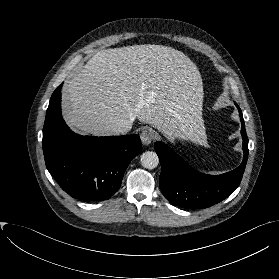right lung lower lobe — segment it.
Masks as SVG:
<instances>
[{"label":"right lung lower lobe","mask_w":279,"mask_h":279,"mask_svg":"<svg viewBox=\"0 0 279 279\" xmlns=\"http://www.w3.org/2000/svg\"><path fill=\"white\" fill-rule=\"evenodd\" d=\"M61 87L52 94L43 127L46 167L71 197L87 202L108 200L119 190L131 160L141 152L140 137L75 134L61 115Z\"/></svg>","instance_id":"1"}]
</instances>
